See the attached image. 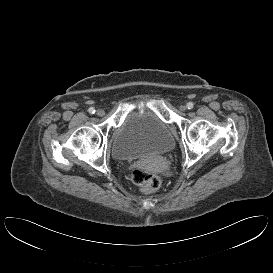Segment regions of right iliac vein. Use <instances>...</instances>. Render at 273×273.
<instances>
[{"instance_id": "obj_1", "label": "right iliac vein", "mask_w": 273, "mask_h": 273, "mask_svg": "<svg viewBox=\"0 0 273 273\" xmlns=\"http://www.w3.org/2000/svg\"><path fill=\"white\" fill-rule=\"evenodd\" d=\"M105 114L104 110L103 109H98L97 110V115L98 116H103Z\"/></svg>"}]
</instances>
